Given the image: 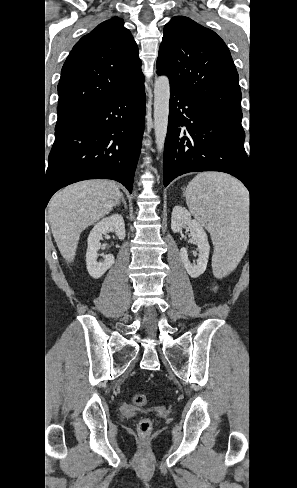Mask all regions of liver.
<instances>
[{"mask_svg":"<svg viewBox=\"0 0 297 488\" xmlns=\"http://www.w3.org/2000/svg\"><path fill=\"white\" fill-rule=\"evenodd\" d=\"M118 186L107 180H87L72 184L54 194L47 217L63 258L71 263L80 234L107 215L121 201Z\"/></svg>","mask_w":297,"mask_h":488,"instance_id":"liver-1","label":"liver"}]
</instances>
